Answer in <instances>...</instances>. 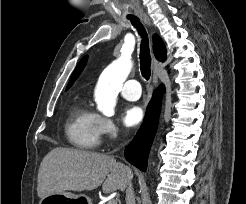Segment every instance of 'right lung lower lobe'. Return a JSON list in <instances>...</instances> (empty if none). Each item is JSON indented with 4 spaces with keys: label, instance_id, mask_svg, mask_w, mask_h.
Segmentation results:
<instances>
[{
    "label": "right lung lower lobe",
    "instance_id": "obj_1",
    "mask_svg": "<svg viewBox=\"0 0 246 204\" xmlns=\"http://www.w3.org/2000/svg\"><path fill=\"white\" fill-rule=\"evenodd\" d=\"M160 91H155L147 107L145 121L134 140L125 149L124 155L128 162L146 171L147 158L156 132L160 112Z\"/></svg>",
    "mask_w": 246,
    "mask_h": 204
}]
</instances>
